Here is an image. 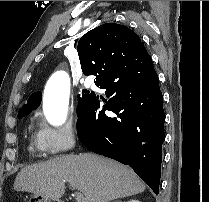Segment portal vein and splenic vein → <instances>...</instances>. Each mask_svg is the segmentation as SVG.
Wrapping results in <instances>:
<instances>
[{
  "mask_svg": "<svg viewBox=\"0 0 209 202\" xmlns=\"http://www.w3.org/2000/svg\"><path fill=\"white\" fill-rule=\"evenodd\" d=\"M75 199L77 202H86V199L84 198L83 194L80 192H75Z\"/></svg>",
  "mask_w": 209,
  "mask_h": 202,
  "instance_id": "1",
  "label": "portal vein and splenic vein"
}]
</instances>
